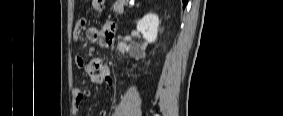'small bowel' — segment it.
Returning a JSON list of instances; mask_svg holds the SVG:
<instances>
[{
    "label": "small bowel",
    "mask_w": 283,
    "mask_h": 116,
    "mask_svg": "<svg viewBox=\"0 0 283 116\" xmlns=\"http://www.w3.org/2000/svg\"><path fill=\"white\" fill-rule=\"evenodd\" d=\"M95 7L97 10H101L104 4L103 0H95ZM86 22L84 19H80L73 31V39L75 41L79 40L81 36L82 29L84 28ZM114 30L115 25L111 21H105L101 27H89L86 30L87 38L92 42H100L105 46H110L113 44L114 40ZM75 64L79 68H83L85 73L91 82L96 84H105V86L111 89L114 85V79L110 74L109 68L103 63L100 58H93L87 62L82 56H77L75 58ZM73 93V111L74 115L78 116L80 113V108L87 98L90 97L91 92L88 89L75 87L72 91ZM106 110L103 109L99 112V116H106Z\"/></svg>",
    "instance_id": "c3829d8e"
}]
</instances>
